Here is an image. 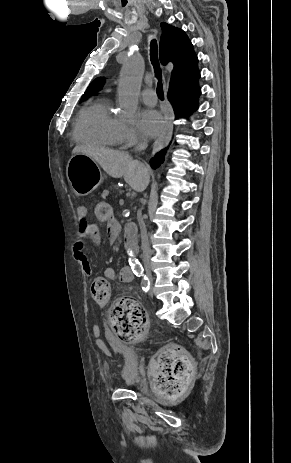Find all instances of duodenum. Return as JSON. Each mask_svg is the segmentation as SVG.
I'll list each match as a JSON object with an SVG mask.
<instances>
[{"label": "duodenum", "mask_w": 291, "mask_h": 463, "mask_svg": "<svg viewBox=\"0 0 291 463\" xmlns=\"http://www.w3.org/2000/svg\"><path fill=\"white\" fill-rule=\"evenodd\" d=\"M124 233H125V239L123 241V245L125 248H132L134 247L136 241H137V230L135 226L132 223H127L124 226ZM118 236V235H117ZM129 267V266H126ZM130 268V267H129ZM131 269V268H130ZM129 272V270H126ZM132 271V270H131ZM133 273V272H132Z\"/></svg>", "instance_id": "obj_1"}]
</instances>
